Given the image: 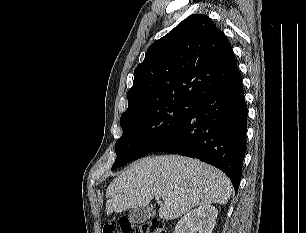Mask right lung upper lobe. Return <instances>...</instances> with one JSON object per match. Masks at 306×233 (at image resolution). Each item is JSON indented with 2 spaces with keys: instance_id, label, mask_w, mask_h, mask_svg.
<instances>
[{
  "instance_id": "right-lung-upper-lobe-1",
  "label": "right lung upper lobe",
  "mask_w": 306,
  "mask_h": 233,
  "mask_svg": "<svg viewBox=\"0 0 306 233\" xmlns=\"http://www.w3.org/2000/svg\"><path fill=\"white\" fill-rule=\"evenodd\" d=\"M240 76L224 33L206 15L193 14L148 48L123 114L163 99L198 104Z\"/></svg>"
}]
</instances>
